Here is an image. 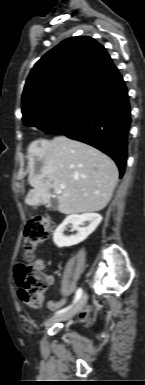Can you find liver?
I'll return each instance as SVG.
<instances>
[{"instance_id": "obj_1", "label": "liver", "mask_w": 145, "mask_h": 385, "mask_svg": "<svg viewBox=\"0 0 145 385\" xmlns=\"http://www.w3.org/2000/svg\"><path fill=\"white\" fill-rule=\"evenodd\" d=\"M28 154V182L33 187L28 205L49 203L52 189L58 194V210L67 215L100 211L109 203L118 169L106 154L66 136L35 140Z\"/></svg>"}]
</instances>
